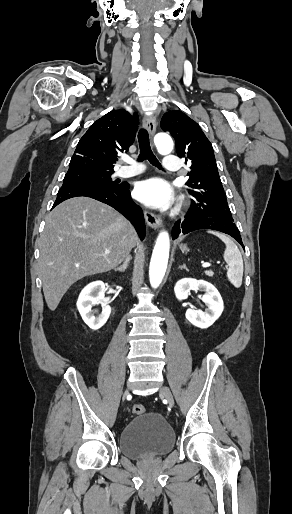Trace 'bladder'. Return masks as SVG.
Masks as SVG:
<instances>
[{
	"instance_id": "bladder-1",
	"label": "bladder",
	"mask_w": 292,
	"mask_h": 514,
	"mask_svg": "<svg viewBox=\"0 0 292 514\" xmlns=\"http://www.w3.org/2000/svg\"><path fill=\"white\" fill-rule=\"evenodd\" d=\"M174 444V431L157 412H145L132 418L123 427L118 440L121 453L131 459L164 455Z\"/></svg>"
}]
</instances>
